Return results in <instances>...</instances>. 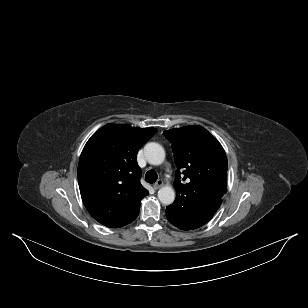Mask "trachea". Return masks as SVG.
Here are the masks:
<instances>
[{"label": "trachea", "mask_w": 308, "mask_h": 308, "mask_svg": "<svg viewBox=\"0 0 308 308\" xmlns=\"http://www.w3.org/2000/svg\"><path fill=\"white\" fill-rule=\"evenodd\" d=\"M157 173L153 170H149L146 175H145V180L148 182V183H154L156 182L157 180Z\"/></svg>", "instance_id": "3493384b"}]
</instances>
